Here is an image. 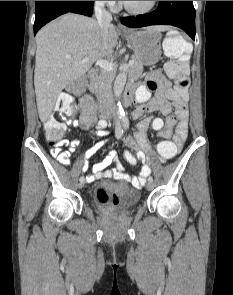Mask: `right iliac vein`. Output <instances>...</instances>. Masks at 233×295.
<instances>
[{
  "label": "right iliac vein",
  "mask_w": 233,
  "mask_h": 295,
  "mask_svg": "<svg viewBox=\"0 0 233 295\" xmlns=\"http://www.w3.org/2000/svg\"><path fill=\"white\" fill-rule=\"evenodd\" d=\"M84 184H85V179H82L79 181L78 187L82 188L84 186Z\"/></svg>",
  "instance_id": "1"
}]
</instances>
